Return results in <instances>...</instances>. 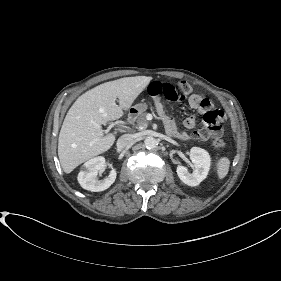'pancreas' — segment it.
<instances>
[{"mask_svg": "<svg viewBox=\"0 0 281 281\" xmlns=\"http://www.w3.org/2000/svg\"><path fill=\"white\" fill-rule=\"evenodd\" d=\"M133 122H136V128L146 129L148 126V121L146 120V113H141L133 119Z\"/></svg>", "mask_w": 281, "mask_h": 281, "instance_id": "pancreas-1", "label": "pancreas"}]
</instances>
